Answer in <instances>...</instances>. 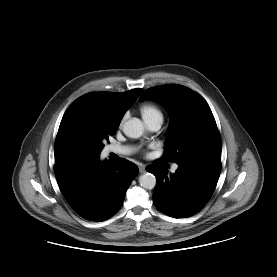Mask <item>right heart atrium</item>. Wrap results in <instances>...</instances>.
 I'll list each match as a JSON object with an SVG mask.
<instances>
[{
    "label": "right heart atrium",
    "instance_id": "d8ad5b80",
    "mask_svg": "<svg viewBox=\"0 0 277 277\" xmlns=\"http://www.w3.org/2000/svg\"><path fill=\"white\" fill-rule=\"evenodd\" d=\"M124 119H125V117H123V118L121 119L120 125L123 123Z\"/></svg>",
    "mask_w": 277,
    "mask_h": 277
}]
</instances>
